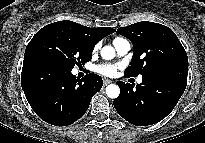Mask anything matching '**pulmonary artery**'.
I'll return each mask as SVG.
<instances>
[{"label": "pulmonary artery", "mask_w": 205, "mask_h": 143, "mask_svg": "<svg viewBox=\"0 0 205 143\" xmlns=\"http://www.w3.org/2000/svg\"><path fill=\"white\" fill-rule=\"evenodd\" d=\"M113 45L119 56H125L131 49L130 42L123 38L114 42ZM137 83H142V77L137 78Z\"/></svg>", "instance_id": "1"}]
</instances>
